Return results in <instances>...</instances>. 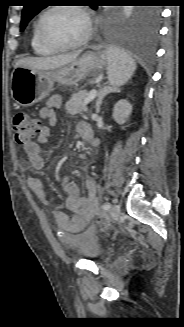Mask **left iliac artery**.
Returning a JSON list of instances; mask_svg holds the SVG:
<instances>
[{"label": "left iliac artery", "mask_w": 184, "mask_h": 327, "mask_svg": "<svg viewBox=\"0 0 184 327\" xmlns=\"http://www.w3.org/2000/svg\"><path fill=\"white\" fill-rule=\"evenodd\" d=\"M111 208V204L109 202H106L103 204V209L104 210H109Z\"/></svg>", "instance_id": "obj_1"}]
</instances>
